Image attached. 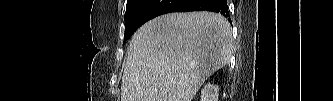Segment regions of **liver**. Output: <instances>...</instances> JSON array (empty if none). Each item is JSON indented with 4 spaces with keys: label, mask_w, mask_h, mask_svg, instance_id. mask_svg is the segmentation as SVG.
<instances>
[{
    "label": "liver",
    "mask_w": 333,
    "mask_h": 101,
    "mask_svg": "<svg viewBox=\"0 0 333 101\" xmlns=\"http://www.w3.org/2000/svg\"><path fill=\"white\" fill-rule=\"evenodd\" d=\"M232 28L212 12L156 17L133 35L121 101H192L200 86L229 63Z\"/></svg>",
    "instance_id": "liver-1"
}]
</instances>
